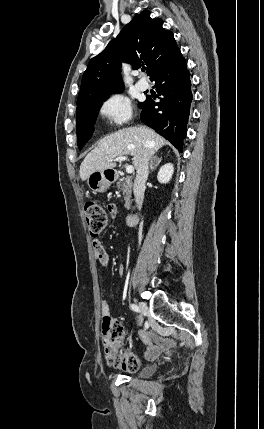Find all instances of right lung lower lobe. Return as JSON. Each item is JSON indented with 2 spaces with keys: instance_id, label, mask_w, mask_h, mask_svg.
I'll list each match as a JSON object with an SVG mask.
<instances>
[{
  "instance_id": "right-lung-lower-lobe-1",
  "label": "right lung lower lobe",
  "mask_w": 264,
  "mask_h": 429,
  "mask_svg": "<svg viewBox=\"0 0 264 429\" xmlns=\"http://www.w3.org/2000/svg\"><path fill=\"white\" fill-rule=\"evenodd\" d=\"M190 73L186 60L176 51L150 77L163 97L155 102L148 97L141 110V120L169 140L180 152L187 133L192 101ZM157 106V108H155Z\"/></svg>"
}]
</instances>
